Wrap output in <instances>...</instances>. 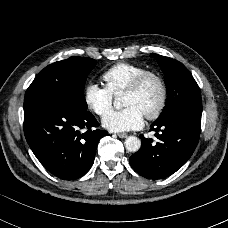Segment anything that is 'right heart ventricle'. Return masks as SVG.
<instances>
[{
	"instance_id": "e07e8e85",
	"label": "right heart ventricle",
	"mask_w": 228,
	"mask_h": 228,
	"mask_svg": "<svg viewBox=\"0 0 228 228\" xmlns=\"http://www.w3.org/2000/svg\"><path fill=\"white\" fill-rule=\"evenodd\" d=\"M147 70L141 65L120 62L105 70L102 77L111 94L116 96L125 91L138 75Z\"/></svg>"
}]
</instances>
